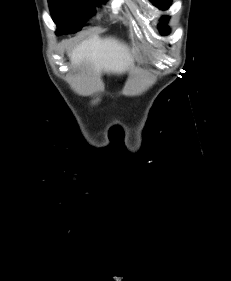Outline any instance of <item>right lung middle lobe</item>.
Wrapping results in <instances>:
<instances>
[{
    "instance_id": "obj_1",
    "label": "right lung middle lobe",
    "mask_w": 231,
    "mask_h": 281,
    "mask_svg": "<svg viewBox=\"0 0 231 281\" xmlns=\"http://www.w3.org/2000/svg\"><path fill=\"white\" fill-rule=\"evenodd\" d=\"M54 22L58 26L56 34L76 32L79 30L94 6L100 0H48Z\"/></svg>"
}]
</instances>
